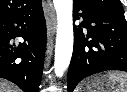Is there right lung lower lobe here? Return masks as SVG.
I'll return each instance as SVG.
<instances>
[{"mask_svg": "<svg viewBox=\"0 0 127 92\" xmlns=\"http://www.w3.org/2000/svg\"><path fill=\"white\" fill-rule=\"evenodd\" d=\"M24 39L23 42L15 40ZM46 47L41 2L31 11L0 20V77L24 92H38Z\"/></svg>", "mask_w": 127, "mask_h": 92, "instance_id": "1", "label": "right lung lower lobe"}]
</instances>
